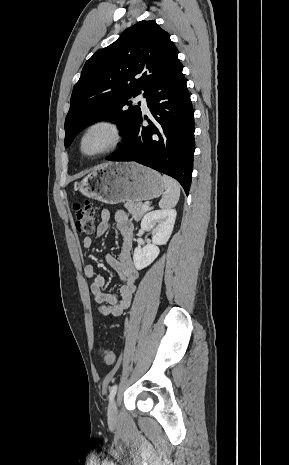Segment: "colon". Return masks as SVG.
<instances>
[{"mask_svg":"<svg viewBox=\"0 0 289 465\" xmlns=\"http://www.w3.org/2000/svg\"><path fill=\"white\" fill-rule=\"evenodd\" d=\"M75 225L80 233L91 235L95 231V210L89 200L74 203ZM103 359L106 364H112L115 360L113 351L103 348Z\"/></svg>","mask_w":289,"mask_h":465,"instance_id":"colon-1","label":"colon"}]
</instances>
